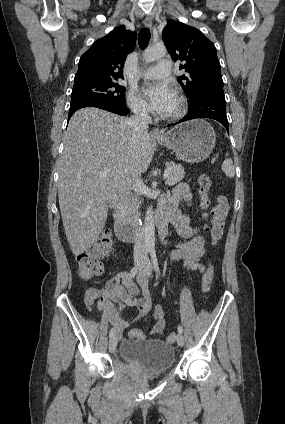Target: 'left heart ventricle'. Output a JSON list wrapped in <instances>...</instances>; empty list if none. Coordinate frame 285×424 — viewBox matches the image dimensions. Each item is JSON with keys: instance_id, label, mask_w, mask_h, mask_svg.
<instances>
[{"instance_id": "obj_1", "label": "left heart ventricle", "mask_w": 285, "mask_h": 424, "mask_svg": "<svg viewBox=\"0 0 285 424\" xmlns=\"http://www.w3.org/2000/svg\"><path fill=\"white\" fill-rule=\"evenodd\" d=\"M178 109H179V102H178V100L175 96L170 107L168 108V110L163 115H171V114L175 113Z\"/></svg>"}]
</instances>
